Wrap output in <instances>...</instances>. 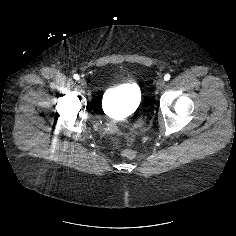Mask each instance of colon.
I'll return each instance as SVG.
<instances>
[{
    "instance_id": "obj_1",
    "label": "colon",
    "mask_w": 236,
    "mask_h": 236,
    "mask_svg": "<svg viewBox=\"0 0 236 236\" xmlns=\"http://www.w3.org/2000/svg\"><path fill=\"white\" fill-rule=\"evenodd\" d=\"M111 143L115 147L120 148L123 145V140L119 136H113L111 138ZM121 154L126 158H133L135 156V152L131 149H124V150L121 151Z\"/></svg>"
}]
</instances>
